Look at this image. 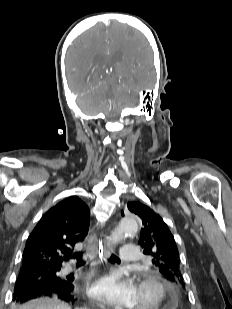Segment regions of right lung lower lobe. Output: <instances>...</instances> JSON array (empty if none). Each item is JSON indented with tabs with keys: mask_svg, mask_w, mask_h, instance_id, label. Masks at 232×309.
I'll return each instance as SVG.
<instances>
[{
	"mask_svg": "<svg viewBox=\"0 0 232 309\" xmlns=\"http://www.w3.org/2000/svg\"><path fill=\"white\" fill-rule=\"evenodd\" d=\"M22 274H35L40 276L46 272L39 273L34 269V265L30 263L22 264L20 269ZM19 273V274H20ZM62 279L51 284H43L39 282L27 281L24 278H17L13 300L17 303H24L28 300L35 299L42 296H52L60 298L66 302H74V286L71 283L72 279L69 277H61Z\"/></svg>",
	"mask_w": 232,
	"mask_h": 309,
	"instance_id": "obj_1",
	"label": "right lung lower lobe"
}]
</instances>
